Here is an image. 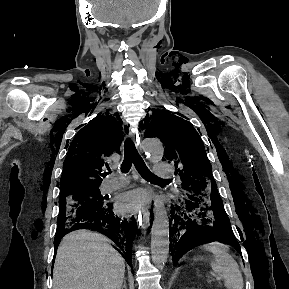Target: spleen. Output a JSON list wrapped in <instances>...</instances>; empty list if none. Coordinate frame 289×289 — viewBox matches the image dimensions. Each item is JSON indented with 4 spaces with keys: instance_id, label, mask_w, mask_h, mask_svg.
<instances>
[{
    "instance_id": "obj_1",
    "label": "spleen",
    "mask_w": 289,
    "mask_h": 289,
    "mask_svg": "<svg viewBox=\"0 0 289 289\" xmlns=\"http://www.w3.org/2000/svg\"><path fill=\"white\" fill-rule=\"evenodd\" d=\"M214 256L210 266L216 276L224 281L227 289H243V277L237 262L219 242H211L201 246Z\"/></svg>"
}]
</instances>
